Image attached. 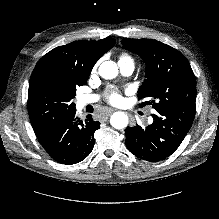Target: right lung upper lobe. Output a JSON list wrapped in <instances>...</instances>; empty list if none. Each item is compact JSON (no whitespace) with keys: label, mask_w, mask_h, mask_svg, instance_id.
Segmentation results:
<instances>
[{"label":"right lung upper lobe","mask_w":219,"mask_h":219,"mask_svg":"<svg viewBox=\"0 0 219 219\" xmlns=\"http://www.w3.org/2000/svg\"><path fill=\"white\" fill-rule=\"evenodd\" d=\"M115 42V39L107 37L98 41H75L56 47L38 61L31 77H47L66 89L85 85L97 60Z\"/></svg>","instance_id":"right-lung-upper-lobe-1"}]
</instances>
